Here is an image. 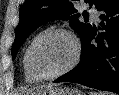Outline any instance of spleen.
Listing matches in <instances>:
<instances>
[{"instance_id": "1", "label": "spleen", "mask_w": 119, "mask_h": 95, "mask_svg": "<svg viewBox=\"0 0 119 95\" xmlns=\"http://www.w3.org/2000/svg\"><path fill=\"white\" fill-rule=\"evenodd\" d=\"M90 95H115L114 93H107V92H90Z\"/></svg>"}]
</instances>
